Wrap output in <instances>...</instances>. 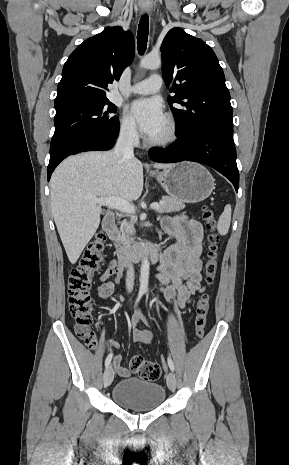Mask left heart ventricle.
Returning <instances> with one entry per match:
<instances>
[{"instance_id":"obj_1","label":"left heart ventricle","mask_w":289,"mask_h":465,"mask_svg":"<svg viewBox=\"0 0 289 465\" xmlns=\"http://www.w3.org/2000/svg\"><path fill=\"white\" fill-rule=\"evenodd\" d=\"M164 127H165V126H164ZM164 127H163V129H162L156 136H154L153 138H159V137H161V135H162L163 132H164Z\"/></svg>"}]
</instances>
